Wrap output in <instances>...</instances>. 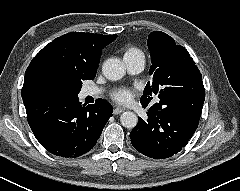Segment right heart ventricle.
Returning <instances> with one entry per match:
<instances>
[{"label":"right heart ventricle","instance_id":"e07e8e85","mask_svg":"<svg viewBox=\"0 0 240 191\" xmlns=\"http://www.w3.org/2000/svg\"><path fill=\"white\" fill-rule=\"evenodd\" d=\"M132 55H143V53L140 49H138L136 47L127 48L124 52V56H132Z\"/></svg>","mask_w":240,"mask_h":191}]
</instances>
